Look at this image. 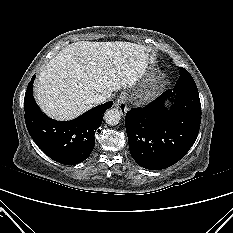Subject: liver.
Listing matches in <instances>:
<instances>
[{
  "mask_svg": "<svg viewBox=\"0 0 233 233\" xmlns=\"http://www.w3.org/2000/svg\"><path fill=\"white\" fill-rule=\"evenodd\" d=\"M147 48L130 42L79 41L63 48L41 71L35 98L58 120L73 119L94 106L97 94L132 87L148 65Z\"/></svg>",
  "mask_w": 233,
  "mask_h": 233,
  "instance_id": "liver-1",
  "label": "liver"
}]
</instances>
